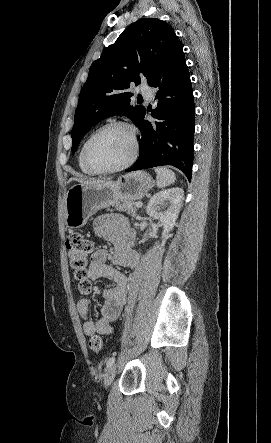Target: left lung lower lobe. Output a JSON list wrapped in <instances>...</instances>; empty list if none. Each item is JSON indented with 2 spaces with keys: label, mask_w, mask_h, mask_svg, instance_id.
Returning a JSON list of instances; mask_svg holds the SVG:
<instances>
[{
  "label": "left lung lower lobe",
  "mask_w": 271,
  "mask_h": 443,
  "mask_svg": "<svg viewBox=\"0 0 271 443\" xmlns=\"http://www.w3.org/2000/svg\"><path fill=\"white\" fill-rule=\"evenodd\" d=\"M148 84L158 89L157 108L151 115L159 121L144 120L145 110L138 125L140 155L126 171L172 165L191 180L195 105L182 45L171 51Z\"/></svg>",
  "instance_id": "obj_1"
}]
</instances>
